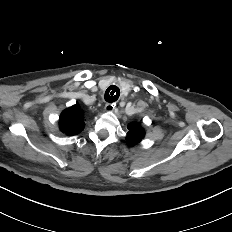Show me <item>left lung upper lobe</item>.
<instances>
[{"instance_id":"obj_1","label":"left lung upper lobe","mask_w":232,"mask_h":232,"mask_svg":"<svg viewBox=\"0 0 232 232\" xmlns=\"http://www.w3.org/2000/svg\"><path fill=\"white\" fill-rule=\"evenodd\" d=\"M127 128L129 131L126 139L129 145L137 144L144 138L145 132L139 124L132 123Z\"/></svg>"}]
</instances>
